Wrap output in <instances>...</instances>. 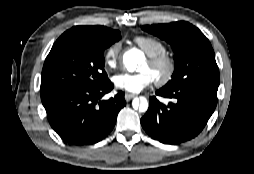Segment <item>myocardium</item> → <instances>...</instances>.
Instances as JSON below:
<instances>
[{
	"instance_id": "f54148a6",
	"label": "myocardium",
	"mask_w": 254,
	"mask_h": 174,
	"mask_svg": "<svg viewBox=\"0 0 254 174\" xmlns=\"http://www.w3.org/2000/svg\"><path fill=\"white\" fill-rule=\"evenodd\" d=\"M147 62L153 68H164L163 75L154 79L157 86H166L173 79L176 71V62L171 55L161 53L155 56H150L148 57Z\"/></svg>"
}]
</instances>
